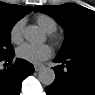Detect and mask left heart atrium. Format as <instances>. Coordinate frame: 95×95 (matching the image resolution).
<instances>
[{"label":"left heart atrium","mask_w":95,"mask_h":95,"mask_svg":"<svg viewBox=\"0 0 95 95\" xmlns=\"http://www.w3.org/2000/svg\"><path fill=\"white\" fill-rule=\"evenodd\" d=\"M17 56L27 62L38 64L46 59H48L52 50L48 45H32L29 43L21 45L17 49Z\"/></svg>","instance_id":"1"}]
</instances>
